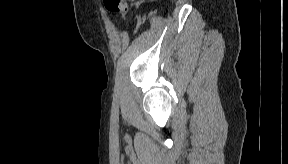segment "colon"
Returning <instances> with one entry per match:
<instances>
[{"instance_id": "5ec220e1", "label": "colon", "mask_w": 288, "mask_h": 164, "mask_svg": "<svg viewBox=\"0 0 288 164\" xmlns=\"http://www.w3.org/2000/svg\"><path fill=\"white\" fill-rule=\"evenodd\" d=\"M105 4L111 12L119 13L122 16L129 14L130 7L126 0H106Z\"/></svg>"}]
</instances>
